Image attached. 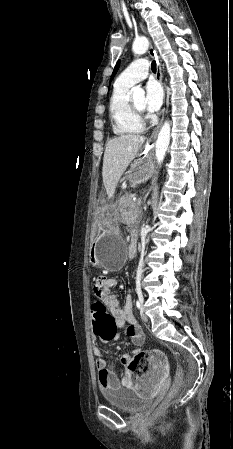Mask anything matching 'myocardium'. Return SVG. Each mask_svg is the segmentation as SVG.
<instances>
[{"label": "myocardium", "mask_w": 233, "mask_h": 449, "mask_svg": "<svg viewBox=\"0 0 233 449\" xmlns=\"http://www.w3.org/2000/svg\"><path fill=\"white\" fill-rule=\"evenodd\" d=\"M129 106H130L131 111L133 112V114H134L137 118L142 119V120L144 119V117H145V111H144V109L138 108V107L133 103V101H132L131 99H129Z\"/></svg>", "instance_id": "myocardium-1"}]
</instances>
